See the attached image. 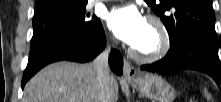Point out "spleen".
Listing matches in <instances>:
<instances>
[{"label": "spleen", "instance_id": "obj_1", "mask_svg": "<svg viewBox=\"0 0 221 102\" xmlns=\"http://www.w3.org/2000/svg\"><path fill=\"white\" fill-rule=\"evenodd\" d=\"M205 92H206V96L208 97V92H207V90L205 89Z\"/></svg>", "mask_w": 221, "mask_h": 102}]
</instances>
